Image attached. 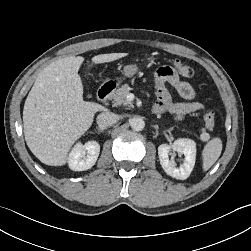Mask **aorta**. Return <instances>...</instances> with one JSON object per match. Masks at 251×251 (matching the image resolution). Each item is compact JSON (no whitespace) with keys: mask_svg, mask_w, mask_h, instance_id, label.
<instances>
[{"mask_svg":"<svg viewBox=\"0 0 251 251\" xmlns=\"http://www.w3.org/2000/svg\"><path fill=\"white\" fill-rule=\"evenodd\" d=\"M131 128L134 131H142L145 127V122L142 118H133L130 122Z\"/></svg>","mask_w":251,"mask_h":251,"instance_id":"1","label":"aorta"}]
</instances>
